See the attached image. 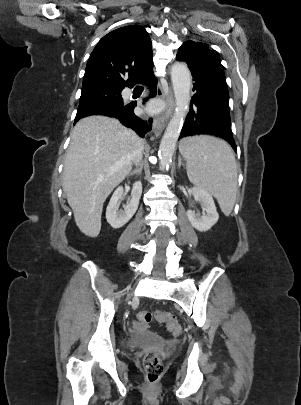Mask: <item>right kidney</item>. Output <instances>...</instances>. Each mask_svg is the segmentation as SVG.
<instances>
[{
  "mask_svg": "<svg viewBox=\"0 0 301 405\" xmlns=\"http://www.w3.org/2000/svg\"><path fill=\"white\" fill-rule=\"evenodd\" d=\"M123 192V187H118L113 193L106 209L107 222L114 229H118L124 226L137 211L142 194V184L140 181H137L133 184L130 202L127 203L126 206H124V210H119V205L123 198Z\"/></svg>",
  "mask_w": 301,
  "mask_h": 405,
  "instance_id": "right-kidney-1",
  "label": "right kidney"
}]
</instances>
